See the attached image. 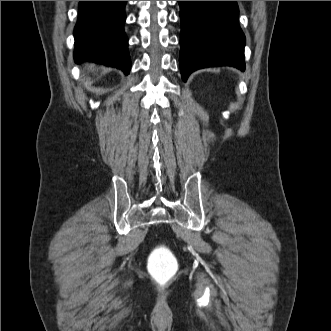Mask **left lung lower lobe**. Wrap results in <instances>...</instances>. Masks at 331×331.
I'll list each match as a JSON object with an SVG mask.
<instances>
[{
    "mask_svg": "<svg viewBox=\"0 0 331 331\" xmlns=\"http://www.w3.org/2000/svg\"><path fill=\"white\" fill-rule=\"evenodd\" d=\"M180 69L183 81L195 70L233 66L245 70V36L236 1H178Z\"/></svg>",
    "mask_w": 331,
    "mask_h": 331,
    "instance_id": "obj_1",
    "label": "left lung lower lobe"
}]
</instances>
